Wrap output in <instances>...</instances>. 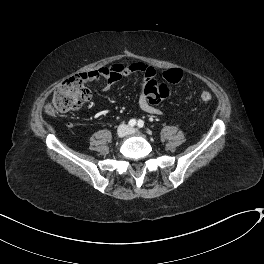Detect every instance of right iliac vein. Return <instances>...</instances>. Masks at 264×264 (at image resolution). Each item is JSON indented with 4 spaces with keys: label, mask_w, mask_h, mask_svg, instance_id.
I'll return each instance as SVG.
<instances>
[{
    "label": "right iliac vein",
    "mask_w": 264,
    "mask_h": 264,
    "mask_svg": "<svg viewBox=\"0 0 264 264\" xmlns=\"http://www.w3.org/2000/svg\"><path fill=\"white\" fill-rule=\"evenodd\" d=\"M129 133V128L126 125H121L117 130V135L119 138H123Z\"/></svg>",
    "instance_id": "63e3f726"
}]
</instances>
